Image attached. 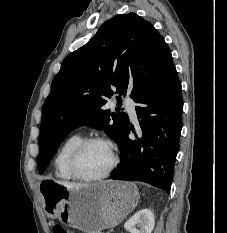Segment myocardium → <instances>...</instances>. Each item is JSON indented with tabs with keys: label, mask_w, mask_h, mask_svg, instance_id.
I'll return each instance as SVG.
<instances>
[{
	"label": "myocardium",
	"mask_w": 227,
	"mask_h": 233,
	"mask_svg": "<svg viewBox=\"0 0 227 233\" xmlns=\"http://www.w3.org/2000/svg\"><path fill=\"white\" fill-rule=\"evenodd\" d=\"M93 143H102L105 144L106 146H108V148L110 149L111 152V162L109 164V166L107 167V169L102 172L101 174L98 175H94V176H88V175H84L82 173L79 172L78 167H77V162H78V158L81 154V152L90 144ZM118 164V154H117V150L115 145L108 139L103 138V137H98V136H94V137H88V138H84L82 139L71 151V154L69 156L68 159V167H69V171L71 173V175L80 181H99L102 180L106 177H108L111 172L114 170V168L117 166Z\"/></svg>",
	"instance_id": "myocardium-1"
}]
</instances>
